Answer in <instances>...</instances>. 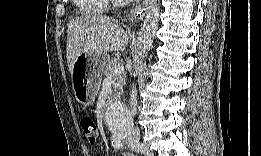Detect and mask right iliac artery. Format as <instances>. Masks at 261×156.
<instances>
[{
	"label": "right iliac artery",
	"mask_w": 261,
	"mask_h": 156,
	"mask_svg": "<svg viewBox=\"0 0 261 156\" xmlns=\"http://www.w3.org/2000/svg\"><path fill=\"white\" fill-rule=\"evenodd\" d=\"M112 145L115 149H122L124 145V140L123 139H113L112 140Z\"/></svg>",
	"instance_id": "82829eb1"
}]
</instances>
